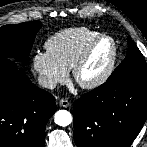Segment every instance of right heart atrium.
Instances as JSON below:
<instances>
[{
    "mask_svg": "<svg viewBox=\"0 0 147 147\" xmlns=\"http://www.w3.org/2000/svg\"><path fill=\"white\" fill-rule=\"evenodd\" d=\"M32 66L38 75L40 84L48 89L64 83L69 75V70L57 62L47 51L35 53L32 58Z\"/></svg>",
    "mask_w": 147,
    "mask_h": 147,
    "instance_id": "d8ad5b80",
    "label": "right heart atrium"
}]
</instances>
